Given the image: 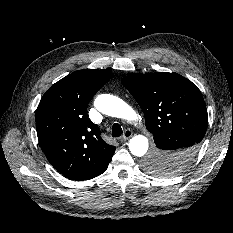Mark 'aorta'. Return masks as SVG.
Listing matches in <instances>:
<instances>
[{
    "mask_svg": "<svg viewBox=\"0 0 233 233\" xmlns=\"http://www.w3.org/2000/svg\"><path fill=\"white\" fill-rule=\"evenodd\" d=\"M95 107L103 114L121 118L125 120L137 119L136 112L120 98L110 95H99L94 101ZM148 139L142 135H136L129 141L130 152L138 157H142L148 150Z\"/></svg>",
    "mask_w": 233,
    "mask_h": 233,
    "instance_id": "762f6f07",
    "label": "aorta"
}]
</instances>
